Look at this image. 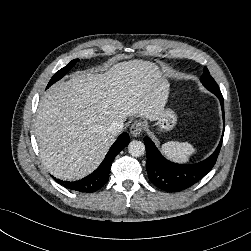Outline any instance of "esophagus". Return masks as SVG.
Returning <instances> with one entry per match:
<instances>
[{
    "label": "esophagus",
    "instance_id": "34e87169",
    "mask_svg": "<svg viewBox=\"0 0 251 251\" xmlns=\"http://www.w3.org/2000/svg\"><path fill=\"white\" fill-rule=\"evenodd\" d=\"M144 129V124L141 121H135L130 127V133L132 136H139Z\"/></svg>",
    "mask_w": 251,
    "mask_h": 251
}]
</instances>
